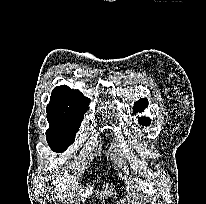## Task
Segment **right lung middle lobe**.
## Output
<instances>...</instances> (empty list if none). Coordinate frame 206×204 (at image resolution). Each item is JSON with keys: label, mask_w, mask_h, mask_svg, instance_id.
I'll return each mask as SVG.
<instances>
[{"label": "right lung middle lobe", "mask_w": 206, "mask_h": 204, "mask_svg": "<svg viewBox=\"0 0 206 204\" xmlns=\"http://www.w3.org/2000/svg\"><path fill=\"white\" fill-rule=\"evenodd\" d=\"M47 120L50 128L46 131V137L50 148L54 152H64L74 142L83 117L47 111Z\"/></svg>", "instance_id": "1"}]
</instances>
